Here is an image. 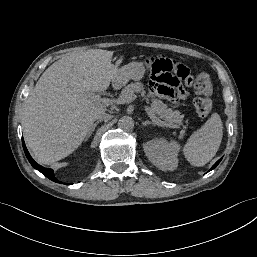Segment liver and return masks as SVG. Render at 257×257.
Listing matches in <instances>:
<instances>
[{"label":"liver","mask_w":257,"mask_h":257,"mask_svg":"<svg viewBox=\"0 0 257 257\" xmlns=\"http://www.w3.org/2000/svg\"><path fill=\"white\" fill-rule=\"evenodd\" d=\"M112 51L72 52L41 75L24 106L23 130L28 148L41 164H52L75 151L106 106L88 95L108 89L118 66Z\"/></svg>","instance_id":"1"}]
</instances>
